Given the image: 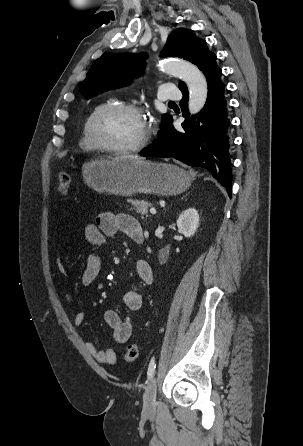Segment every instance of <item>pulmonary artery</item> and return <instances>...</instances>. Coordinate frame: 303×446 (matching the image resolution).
<instances>
[{
    "mask_svg": "<svg viewBox=\"0 0 303 446\" xmlns=\"http://www.w3.org/2000/svg\"><path fill=\"white\" fill-rule=\"evenodd\" d=\"M158 98L162 101L178 100L181 98V93L176 88L175 85L170 84V83H165L159 87Z\"/></svg>",
    "mask_w": 303,
    "mask_h": 446,
    "instance_id": "pulmonary-artery-1",
    "label": "pulmonary artery"
}]
</instances>
